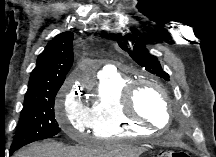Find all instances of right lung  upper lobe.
<instances>
[{
    "label": "right lung upper lobe",
    "mask_w": 216,
    "mask_h": 157,
    "mask_svg": "<svg viewBox=\"0 0 216 157\" xmlns=\"http://www.w3.org/2000/svg\"><path fill=\"white\" fill-rule=\"evenodd\" d=\"M73 33L58 34L38 56L25 99L56 92L73 63Z\"/></svg>",
    "instance_id": "cb5924a9"
}]
</instances>
